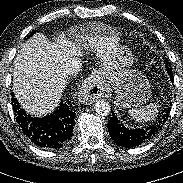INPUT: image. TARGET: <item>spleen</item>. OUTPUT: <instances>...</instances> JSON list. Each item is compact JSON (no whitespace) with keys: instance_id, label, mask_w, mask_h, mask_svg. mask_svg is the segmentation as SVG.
Segmentation results:
<instances>
[{"instance_id":"spleen-1","label":"spleen","mask_w":183,"mask_h":183,"mask_svg":"<svg viewBox=\"0 0 183 183\" xmlns=\"http://www.w3.org/2000/svg\"><path fill=\"white\" fill-rule=\"evenodd\" d=\"M159 104L151 103L145 107L129 109V114L137 122H148L156 118L159 113Z\"/></svg>"}]
</instances>
